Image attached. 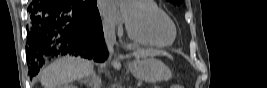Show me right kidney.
Listing matches in <instances>:
<instances>
[{
  "label": "right kidney",
  "instance_id": "ca27d5eb",
  "mask_svg": "<svg viewBox=\"0 0 267 88\" xmlns=\"http://www.w3.org/2000/svg\"><path fill=\"white\" fill-rule=\"evenodd\" d=\"M58 88H76V86H74L71 83H66V84H64L62 86H59Z\"/></svg>",
  "mask_w": 267,
  "mask_h": 88
}]
</instances>
